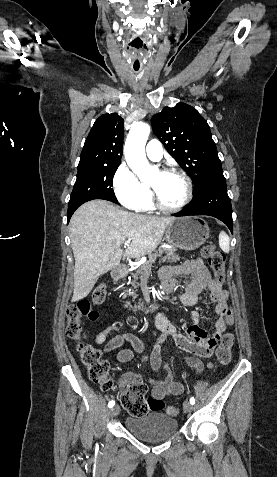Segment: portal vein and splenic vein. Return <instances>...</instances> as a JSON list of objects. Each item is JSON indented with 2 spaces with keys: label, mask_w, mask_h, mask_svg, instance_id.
<instances>
[{
  "label": "portal vein and splenic vein",
  "mask_w": 277,
  "mask_h": 477,
  "mask_svg": "<svg viewBox=\"0 0 277 477\" xmlns=\"http://www.w3.org/2000/svg\"><path fill=\"white\" fill-rule=\"evenodd\" d=\"M131 240H132V239L130 238V239H128V240H126V241L124 242V247H125V248H126V247H129V244H130Z\"/></svg>",
  "instance_id": "18ae733b"
}]
</instances>
